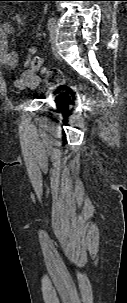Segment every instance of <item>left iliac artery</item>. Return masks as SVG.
Masks as SVG:
<instances>
[{
	"label": "left iliac artery",
	"instance_id": "obj_1",
	"mask_svg": "<svg viewBox=\"0 0 127 303\" xmlns=\"http://www.w3.org/2000/svg\"><path fill=\"white\" fill-rule=\"evenodd\" d=\"M56 25V19L51 17L48 21V29L51 30Z\"/></svg>",
	"mask_w": 127,
	"mask_h": 303
}]
</instances>
